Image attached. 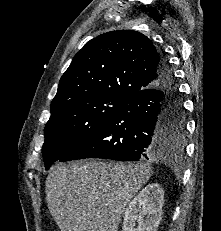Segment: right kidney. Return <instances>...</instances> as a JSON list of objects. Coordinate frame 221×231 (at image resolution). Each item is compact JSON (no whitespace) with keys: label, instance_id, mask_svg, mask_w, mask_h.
I'll return each instance as SVG.
<instances>
[{"label":"right kidney","instance_id":"obj_1","mask_svg":"<svg viewBox=\"0 0 221 231\" xmlns=\"http://www.w3.org/2000/svg\"><path fill=\"white\" fill-rule=\"evenodd\" d=\"M163 204V188L158 183L148 184L126 208L122 231H157Z\"/></svg>","mask_w":221,"mask_h":231}]
</instances>
